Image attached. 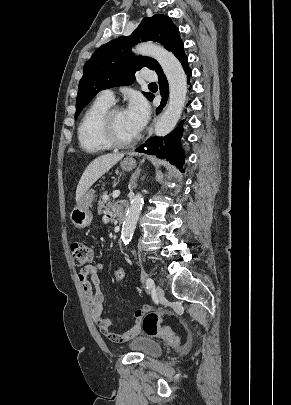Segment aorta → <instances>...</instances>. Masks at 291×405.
I'll use <instances>...</instances> for the list:
<instances>
[{"mask_svg":"<svg viewBox=\"0 0 291 405\" xmlns=\"http://www.w3.org/2000/svg\"><path fill=\"white\" fill-rule=\"evenodd\" d=\"M134 53L149 56L157 60L169 83V102L163 115L155 124V135L165 136L176 126L181 117L187 95V78L179 60L164 47L153 42L138 44ZM143 206V196L137 193L128 208L122 227V241L129 244L134 234L137 220Z\"/></svg>","mask_w":291,"mask_h":405,"instance_id":"obj_1","label":"aorta"}]
</instances>
